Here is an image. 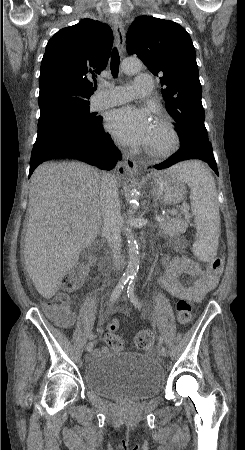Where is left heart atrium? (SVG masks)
Listing matches in <instances>:
<instances>
[{
	"instance_id": "1",
	"label": "left heart atrium",
	"mask_w": 245,
	"mask_h": 450,
	"mask_svg": "<svg viewBox=\"0 0 245 450\" xmlns=\"http://www.w3.org/2000/svg\"><path fill=\"white\" fill-rule=\"evenodd\" d=\"M106 125L116 140L133 147L148 145L155 128L150 111L133 105L110 111Z\"/></svg>"
}]
</instances>
